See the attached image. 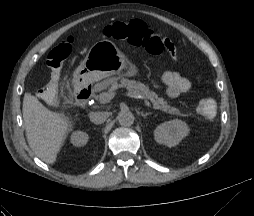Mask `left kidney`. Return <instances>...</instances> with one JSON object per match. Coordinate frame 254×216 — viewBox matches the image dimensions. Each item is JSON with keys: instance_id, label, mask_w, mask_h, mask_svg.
<instances>
[{"instance_id": "obj_1", "label": "left kidney", "mask_w": 254, "mask_h": 216, "mask_svg": "<svg viewBox=\"0 0 254 216\" xmlns=\"http://www.w3.org/2000/svg\"><path fill=\"white\" fill-rule=\"evenodd\" d=\"M189 133V128L182 120L174 119L160 124L154 131V138L159 144L176 146Z\"/></svg>"}]
</instances>
